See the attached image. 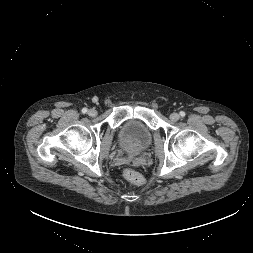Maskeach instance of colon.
<instances>
[{"instance_id":"1","label":"colon","mask_w":253,"mask_h":253,"mask_svg":"<svg viewBox=\"0 0 253 253\" xmlns=\"http://www.w3.org/2000/svg\"><path fill=\"white\" fill-rule=\"evenodd\" d=\"M123 174L128 181L134 184H142L144 181L143 177L131 168H126Z\"/></svg>"}]
</instances>
